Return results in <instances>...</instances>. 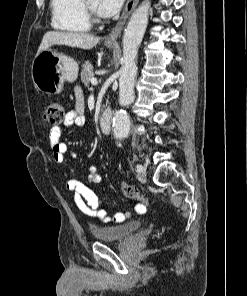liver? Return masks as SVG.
I'll use <instances>...</instances> for the list:
<instances>
[{
	"instance_id": "6515ba94",
	"label": "liver",
	"mask_w": 247,
	"mask_h": 296,
	"mask_svg": "<svg viewBox=\"0 0 247 296\" xmlns=\"http://www.w3.org/2000/svg\"><path fill=\"white\" fill-rule=\"evenodd\" d=\"M100 41V37L87 33L49 31L42 39L37 54L52 45H66L84 50L92 49Z\"/></svg>"
}]
</instances>
